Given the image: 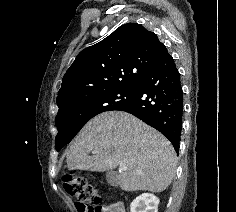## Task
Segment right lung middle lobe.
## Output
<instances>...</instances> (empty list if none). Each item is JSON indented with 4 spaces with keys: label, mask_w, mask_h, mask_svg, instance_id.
Returning <instances> with one entry per match:
<instances>
[{
    "label": "right lung middle lobe",
    "mask_w": 236,
    "mask_h": 212,
    "mask_svg": "<svg viewBox=\"0 0 236 212\" xmlns=\"http://www.w3.org/2000/svg\"><path fill=\"white\" fill-rule=\"evenodd\" d=\"M137 88V85L115 88L87 96L59 109L55 119L58 129L55 138L56 150L59 151L68 144L94 116L117 110L130 102L136 95Z\"/></svg>",
    "instance_id": "1"
}]
</instances>
